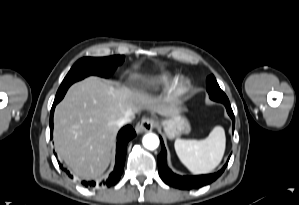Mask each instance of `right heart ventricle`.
<instances>
[{
    "instance_id": "e07e8e85",
    "label": "right heart ventricle",
    "mask_w": 299,
    "mask_h": 205,
    "mask_svg": "<svg viewBox=\"0 0 299 205\" xmlns=\"http://www.w3.org/2000/svg\"><path fill=\"white\" fill-rule=\"evenodd\" d=\"M169 78V74L168 73H163L161 75H158L154 78H151L145 82H143L142 84L138 85L134 92L136 94H146L150 91L151 87L159 85L163 82H165L167 79Z\"/></svg>"
}]
</instances>
